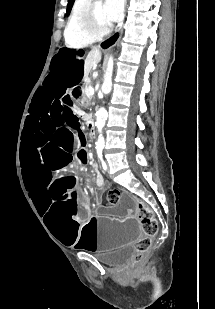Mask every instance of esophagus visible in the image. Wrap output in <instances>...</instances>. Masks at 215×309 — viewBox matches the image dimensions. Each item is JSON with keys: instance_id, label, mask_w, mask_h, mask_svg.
Instances as JSON below:
<instances>
[{"instance_id": "1", "label": "esophagus", "mask_w": 215, "mask_h": 309, "mask_svg": "<svg viewBox=\"0 0 215 309\" xmlns=\"http://www.w3.org/2000/svg\"><path fill=\"white\" fill-rule=\"evenodd\" d=\"M123 33L122 25L116 30V32L111 36L100 42L99 47L103 50H109L114 45H116L121 39Z\"/></svg>"}]
</instances>
